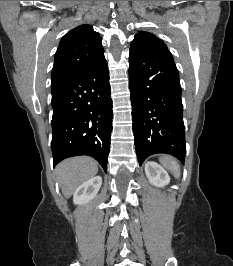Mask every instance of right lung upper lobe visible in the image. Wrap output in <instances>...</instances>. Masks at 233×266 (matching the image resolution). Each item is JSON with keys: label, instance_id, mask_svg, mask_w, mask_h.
Instances as JSON below:
<instances>
[{"label": "right lung upper lobe", "instance_id": "obj_1", "mask_svg": "<svg viewBox=\"0 0 233 266\" xmlns=\"http://www.w3.org/2000/svg\"><path fill=\"white\" fill-rule=\"evenodd\" d=\"M101 40L89 25L69 31L55 53L51 89L67 83L102 60L104 49Z\"/></svg>", "mask_w": 233, "mask_h": 266}]
</instances>
